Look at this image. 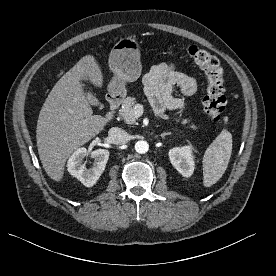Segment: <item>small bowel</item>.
<instances>
[{"mask_svg":"<svg viewBox=\"0 0 276 276\" xmlns=\"http://www.w3.org/2000/svg\"><path fill=\"white\" fill-rule=\"evenodd\" d=\"M143 83L157 115H162L166 110H181L184 107L183 101L173 96L174 87H179L188 96L197 91V82L193 77L167 63L154 66L144 76Z\"/></svg>","mask_w":276,"mask_h":276,"instance_id":"obj_1","label":"small bowel"}]
</instances>
